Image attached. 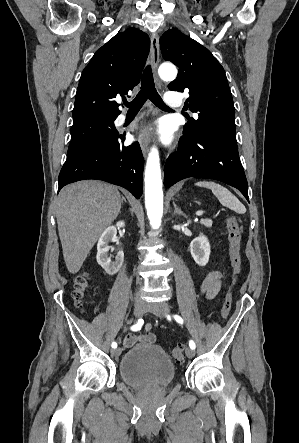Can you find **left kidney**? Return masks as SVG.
Returning <instances> with one entry per match:
<instances>
[{
	"instance_id": "1",
	"label": "left kidney",
	"mask_w": 299,
	"mask_h": 443,
	"mask_svg": "<svg viewBox=\"0 0 299 443\" xmlns=\"http://www.w3.org/2000/svg\"><path fill=\"white\" fill-rule=\"evenodd\" d=\"M190 252L194 261L199 266H205L209 261L211 253V247L207 237L200 234L197 238H194L190 243Z\"/></svg>"
}]
</instances>
